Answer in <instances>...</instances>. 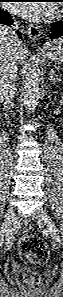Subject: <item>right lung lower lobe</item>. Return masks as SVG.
Masks as SVG:
<instances>
[{
	"mask_svg": "<svg viewBox=\"0 0 63 297\" xmlns=\"http://www.w3.org/2000/svg\"><path fill=\"white\" fill-rule=\"evenodd\" d=\"M12 21V17L8 12L0 10V24L11 25ZM17 33L21 37L20 33Z\"/></svg>",
	"mask_w": 63,
	"mask_h": 297,
	"instance_id": "1",
	"label": "right lung lower lobe"
}]
</instances>
